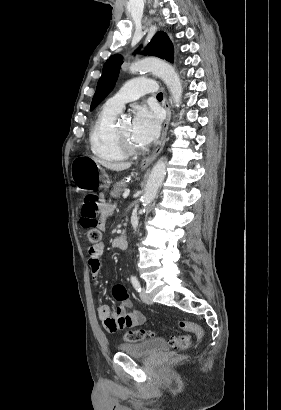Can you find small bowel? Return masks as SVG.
I'll list each match as a JSON object with an SVG mask.
<instances>
[{
	"instance_id": "1",
	"label": "small bowel",
	"mask_w": 281,
	"mask_h": 410,
	"mask_svg": "<svg viewBox=\"0 0 281 410\" xmlns=\"http://www.w3.org/2000/svg\"><path fill=\"white\" fill-rule=\"evenodd\" d=\"M114 209L111 204L102 203L101 217L99 219V228L104 229L107 219L110 217ZM104 252V243L100 242L93 245L88 250V263L93 276V284L96 288L101 286L99 279L100 272V257ZM112 296L120 304L112 309L108 305H101L98 308V317L102 321L105 329L110 333H115L128 326L141 325L145 322V316L131 309L129 292L122 284H115L112 287Z\"/></svg>"
}]
</instances>
